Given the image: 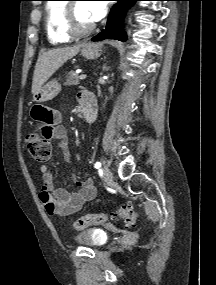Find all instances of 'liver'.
<instances>
[{
  "label": "liver",
  "mask_w": 216,
  "mask_h": 285,
  "mask_svg": "<svg viewBox=\"0 0 216 285\" xmlns=\"http://www.w3.org/2000/svg\"><path fill=\"white\" fill-rule=\"evenodd\" d=\"M81 47V44L61 47L40 54L33 74L32 94H35L67 60L76 56Z\"/></svg>",
  "instance_id": "1"
}]
</instances>
